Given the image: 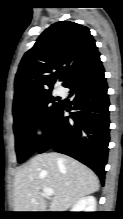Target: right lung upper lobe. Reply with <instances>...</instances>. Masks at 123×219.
<instances>
[{
	"instance_id": "obj_1",
	"label": "right lung upper lobe",
	"mask_w": 123,
	"mask_h": 219,
	"mask_svg": "<svg viewBox=\"0 0 123 219\" xmlns=\"http://www.w3.org/2000/svg\"><path fill=\"white\" fill-rule=\"evenodd\" d=\"M100 56L86 26L70 21L47 28L23 56L15 77L13 104L63 85Z\"/></svg>"
}]
</instances>
